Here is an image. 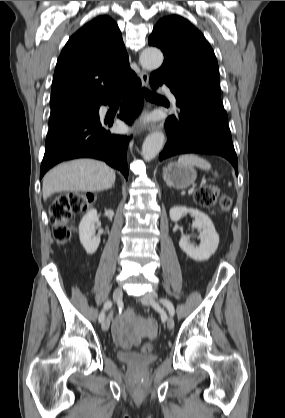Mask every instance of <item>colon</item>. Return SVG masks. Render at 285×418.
<instances>
[{"instance_id": "colon-1", "label": "colon", "mask_w": 285, "mask_h": 418, "mask_svg": "<svg viewBox=\"0 0 285 418\" xmlns=\"http://www.w3.org/2000/svg\"><path fill=\"white\" fill-rule=\"evenodd\" d=\"M195 201L204 208L219 206L223 211H229L232 205L230 197L220 193L214 184H206L199 187L195 192ZM87 206L86 196L79 192H60L50 207V218L54 224V239L60 243L68 242L74 229L70 219L80 214ZM144 353H150L153 346L149 342L141 345Z\"/></svg>"}]
</instances>
